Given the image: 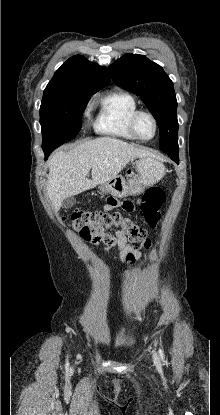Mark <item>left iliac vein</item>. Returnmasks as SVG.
Segmentation results:
<instances>
[{
    "mask_svg": "<svg viewBox=\"0 0 220 415\" xmlns=\"http://www.w3.org/2000/svg\"><path fill=\"white\" fill-rule=\"evenodd\" d=\"M153 361L157 366L161 365L160 357L156 352L153 353Z\"/></svg>",
    "mask_w": 220,
    "mask_h": 415,
    "instance_id": "left-iliac-vein-1",
    "label": "left iliac vein"
}]
</instances>
